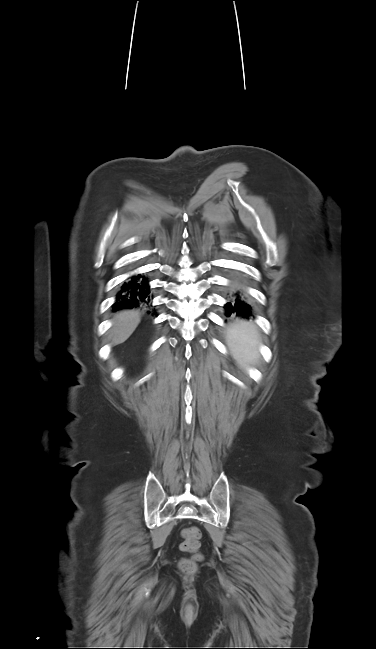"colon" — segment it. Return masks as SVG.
<instances>
[{
	"label": "colon",
	"mask_w": 376,
	"mask_h": 649,
	"mask_svg": "<svg viewBox=\"0 0 376 649\" xmlns=\"http://www.w3.org/2000/svg\"><path fill=\"white\" fill-rule=\"evenodd\" d=\"M182 536L181 549L185 552L196 553L200 548L201 531L197 527H188L183 530ZM181 567L189 571L193 569L194 563L191 561H183Z\"/></svg>",
	"instance_id": "1"
}]
</instances>
